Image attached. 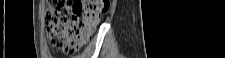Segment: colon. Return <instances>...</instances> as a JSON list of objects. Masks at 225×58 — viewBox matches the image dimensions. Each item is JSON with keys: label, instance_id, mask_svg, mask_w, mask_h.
Instances as JSON below:
<instances>
[{"label": "colon", "instance_id": "1", "mask_svg": "<svg viewBox=\"0 0 225 58\" xmlns=\"http://www.w3.org/2000/svg\"><path fill=\"white\" fill-rule=\"evenodd\" d=\"M107 0H51L45 15L50 44L71 54L92 37L109 8Z\"/></svg>", "mask_w": 225, "mask_h": 58}]
</instances>
